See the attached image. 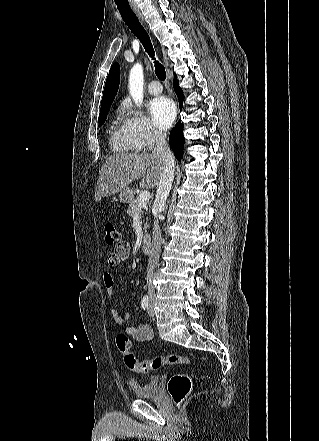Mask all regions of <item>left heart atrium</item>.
<instances>
[{"mask_svg":"<svg viewBox=\"0 0 319 441\" xmlns=\"http://www.w3.org/2000/svg\"><path fill=\"white\" fill-rule=\"evenodd\" d=\"M150 113L155 125L159 129L166 130L175 118L176 106L168 97L159 96L150 102Z\"/></svg>","mask_w":319,"mask_h":441,"instance_id":"1","label":"left heart atrium"}]
</instances>
